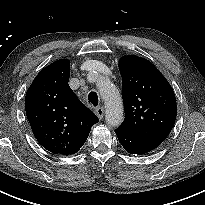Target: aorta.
<instances>
[{
  "instance_id": "762f6f07",
  "label": "aorta",
  "mask_w": 205,
  "mask_h": 205,
  "mask_svg": "<svg viewBox=\"0 0 205 205\" xmlns=\"http://www.w3.org/2000/svg\"><path fill=\"white\" fill-rule=\"evenodd\" d=\"M101 95L105 101V119L112 127L119 126L123 121V104L117 88L109 81L99 85Z\"/></svg>"
}]
</instances>
